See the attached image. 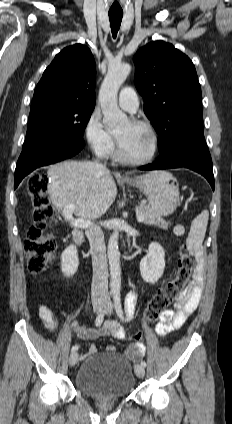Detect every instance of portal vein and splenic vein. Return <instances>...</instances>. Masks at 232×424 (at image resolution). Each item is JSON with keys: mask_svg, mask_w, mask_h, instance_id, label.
<instances>
[{"mask_svg": "<svg viewBox=\"0 0 232 424\" xmlns=\"http://www.w3.org/2000/svg\"><path fill=\"white\" fill-rule=\"evenodd\" d=\"M75 209V205H69L64 208L63 214L66 220H68L74 227L81 228V229H87L92 225V222L90 220L85 219H74L73 218V211ZM137 221L142 222L144 219V216L137 212Z\"/></svg>", "mask_w": 232, "mask_h": 424, "instance_id": "1", "label": "portal vein and splenic vein"}]
</instances>
